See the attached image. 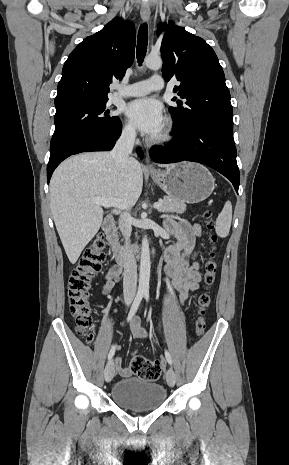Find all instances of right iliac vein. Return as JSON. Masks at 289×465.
Returning <instances> with one entry per match:
<instances>
[{
  "label": "right iliac vein",
  "mask_w": 289,
  "mask_h": 465,
  "mask_svg": "<svg viewBox=\"0 0 289 465\" xmlns=\"http://www.w3.org/2000/svg\"><path fill=\"white\" fill-rule=\"evenodd\" d=\"M129 304H130V301H127V305ZM114 374H115L114 362L113 360H109L104 370V377H105L106 382H110L113 379Z\"/></svg>",
  "instance_id": "1"
}]
</instances>
